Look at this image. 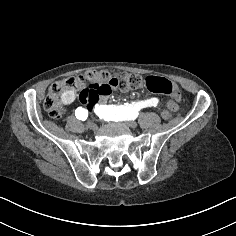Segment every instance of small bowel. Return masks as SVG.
Wrapping results in <instances>:
<instances>
[{
    "instance_id": "small-bowel-1",
    "label": "small bowel",
    "mask_w": 236,
    "mask_h": 236,
    "mask_svg": "<svg viewBox=\"0 0 236 236\" xmlns=\"http://www.w3.org/2000/svg\"><path fill=\"white\" fill-rule=\"evenodd\" d=\"M148 100L150 101V104H149L148 107H156V106H158L159 103H160V100H159V98H157V97H152V98H150V99H148ZM106 101H107V98H106V97H103V98L101 99V103H106ZM167 106H168L170 109L175 110L176 107H177V104H176L175 102H173V101H169V102L167 103Z\"/></svg>"
}]
</instances>
